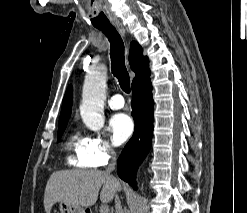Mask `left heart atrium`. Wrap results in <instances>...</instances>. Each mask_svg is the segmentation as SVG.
<instances>
[{
  "label": "left heart atrium",
  "instance_id": "39dd6f15",
  "mask_svg": "<svg viewBox=\"0 0 247 213\" xmlns=\"http://www.w3.org/2000/svg\"><path fill=\"white\" fill-rule=\"evenodd\" d=\"M113 142L116 145L123 144L133 133L134 124L132 119L124 113L115 114L109 123Z\"/></svg>",
  "mask_w": 247,
  "mask_h": 213
}]
</instances>
